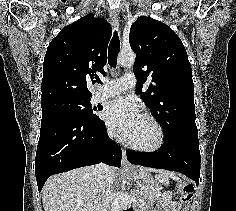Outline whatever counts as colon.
<instances>
[{
  "label": "colon",
  "mask_w": 236,
  "mask_h": 211,
  "mask_svg": "<svg viewBox=\"0 0 236 211\" xmlns=\"http://www.w3.org/2000/svg\"><path fill=\"white\" fill-rule=\"evenodd\" d=\"M177 190L181 194V201L184 204V211H188V205L193 199L194 186L189 182H180L177 184Z\"/></svg>",
  "instance_id": "colon-1"
}]
</instances>
